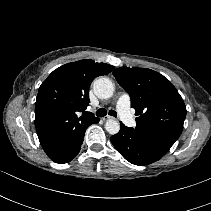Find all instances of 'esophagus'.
<instances>
[{"instance_id":"34e87169","label":"esophagus","mask_w":211,"mask_h":211,"mask_svg":"<svg viewBox=\"0 0 211 211\" xmlns=\"http://www.w3.org/2000/svg\"><path fill=\"white\" fill-rule=\"evenodd\" d=\"M108 119H114V118L111 117V116H106V117L103 118V120H108Z\"/></svg>"}]
</instances>
